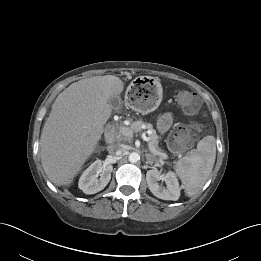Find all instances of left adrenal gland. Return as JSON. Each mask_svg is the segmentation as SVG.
<instances>
[{"instance_id": "obj_1", "label": "left adrenal gland", "mask_w": 261, "mask_h": 261, "mask_svg": "<svg viewBox=\"0 0 261 261\" xmlns=\"http://www.w3.org/2000/svg\"><path fill=\"white\" fill-rule=\"evenodd\" d=\"M146 159H147L146 163H149V164L153 163L149 154H146Z\"/></svg>"}]
</instances>
